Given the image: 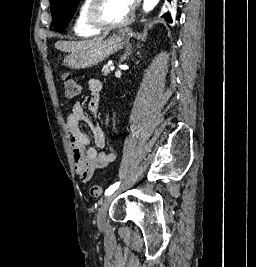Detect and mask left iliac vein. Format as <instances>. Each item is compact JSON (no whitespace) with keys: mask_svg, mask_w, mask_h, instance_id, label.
<instances>
[{"mask_svg":"<svg viewBox=\"0 0 256 267\" xmlns=\"http://www.w3.org/2000/svg\"><path fill=\"white\" fill-rule=\"evenodd\" d=\"M114 197H115V193L106 196L100 206V209L97 215V225L101 228L104 227V224L106 221V212L109 209L110 204L112 200L114 199Z\"/></svg>","mask_w":256,"mask_h":267,"instance_id":"left-iliac-vein-1","label":"left iliac vein"}]
</instances>
